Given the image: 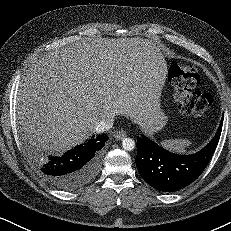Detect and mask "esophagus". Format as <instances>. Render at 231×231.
<instances>
[{
	"mask_svg": "<svg viewBox=\"0 0 231 231\" xmlns=\"http://www.w3.org/2000/svg\"><path fill=\"white\" fill-rule=\"evenodd\" d=\"M114 137L117 140H122L123 138L126 137V132L123 131V130H117V131L114 132Z\"/></svg>",
	"mask_w": 231,
	"mask_h": 231,
	"instance_id": "1",
	"label": "esophagus"
}]
</instances>
